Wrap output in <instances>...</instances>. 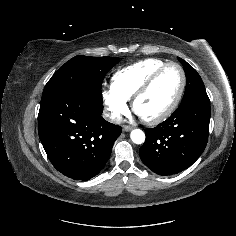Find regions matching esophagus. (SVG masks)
Instances as JSON below:
<instances>
[{
  "label": "esophagus",
  "instance_id": "1",
  "mask_svg": "<svg viewBox=\"0 0 236 236\" xmlns=\"http://www.w3.org/2000/svg\"><path fill=\"white\" fill-rule=\"evenodd\" d=\"M131 129H132L131 126H128V125H124V126H123V131H125V132H128V131H130Z\"/></svg>",
  "mask_w": 236,
  "mask_h": 236
}]
</instances>
